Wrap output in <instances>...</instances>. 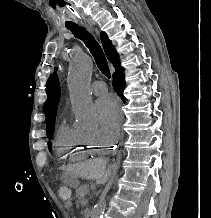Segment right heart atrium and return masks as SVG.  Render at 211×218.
<instances>
[{
	"label": "right heart atrium",
	"mask_w": 211,
	"mask_h": 218,
	"mask_svg": "<svg viewBox=\"0 0 211 218\" xmlns=\"http://www.w3.org/2000/svg\"><path fill=\"white\" fill-rule=\"evenodd\" d=\"M84 132L86 137L93 143L100 145H107L110 143V138L108 137V135L98 129Z\"/></svg>",
	"instance_id": "d8ad5b80"
}]
</instances>
